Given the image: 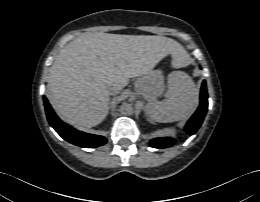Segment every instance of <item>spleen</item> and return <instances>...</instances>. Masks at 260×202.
I'll list each match as a JSON object with an SVG mask.
<instances>
[{
    "label": "spleen",
    "mask_w": 260,
    "mask_h": 202,
    "mask_svg": "<svg viewBox=\"0 0 260 202\" xmlns=\"http://www.w3.org/2000/svg\"><path fill=\"white\" fill-rule=\"evenodd\" d=\"M198 90L189 75L175 71L168 76V88L163 101L147 103L146 111L157 122H174L182 119L195 106Z\"/></svg>",
    "instance_id": "obj_1"
}]
</instances>
